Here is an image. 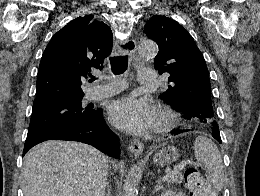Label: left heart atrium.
I'll list each match as a JSON object with an SVG mask.
<instances>
[{"label":"left heart atrium","mask_w":260,"mask_h":196,"mask_svg":"<svg viewBox=\"0 0 260 196\" xmlns=\"http://www.w3.org/2000/svg\"><path fill=\"white\" fill-rule=\"evenodd\" d=\"M109 116L115 126L132 134H142L154 125L156 110L147 99L125 96L113 102Z\"/></svg>","instance_id":"left-heart-atrium-1"}]
</instances>
